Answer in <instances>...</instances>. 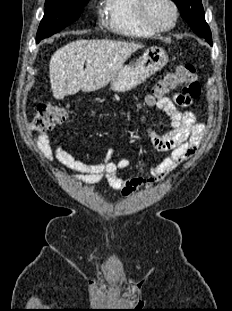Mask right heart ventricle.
I'll return each instance as SVG.
<instances>
[{"mask_svg":"<svg viewBox=\"0 0 232 311\" xmlns=\"http://www.w3.org/2000/svg\"><path fill=\"white\" fill-rule=\"evenodd\" d=\"M138 0H105L106 25L114 32L129 37H147L155 32L145 27L137 15Z\"/></svg>","mask_w":232,"mask_h":311,"instance_id":"obj_1","label":"right heart ventricle"}]
</instances>
